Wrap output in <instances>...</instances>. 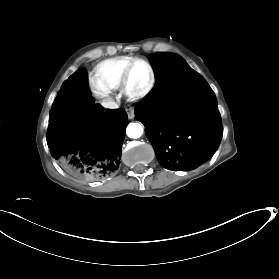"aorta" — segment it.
<instances>
[{"label": "aorta", "mask_w": 279, "mask_h": 279, "mask_svg": "<svg viewBox=\"0 0 279 279\" xmlns=\"http://www.w3.org/2000/svg\"><path fill=\"white\" fill-rule=\"evenodd\" d=\"M126 134L129 138H139L143 134V127L139 123H129Z\"/></svg>", "instance_id": "aorta-1"}]
</instances>
